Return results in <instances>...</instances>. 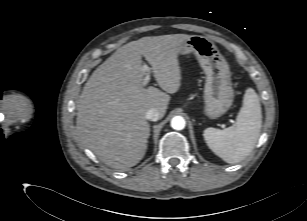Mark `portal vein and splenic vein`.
I'll use <instances>...</instances> for the list:
<instances>
[{"label": "portal vein and splenic vein", "mask_w": 307, "mask_h": 221, "mask_svg": "<svg viewBox=\"0 0 307 221\" xmlns=\"http://www.w3.org/2000/svg\"><path fill=\"white\" fill-rule=\"evenodd\" d=\"M143 70L147 72L145 78L143 79L142 85L145 86L150 81V67L147 65L143 66Z\"/></svg>", "instance_id": "portal-vein-and-splenic-vein-1"}]
</instances>
